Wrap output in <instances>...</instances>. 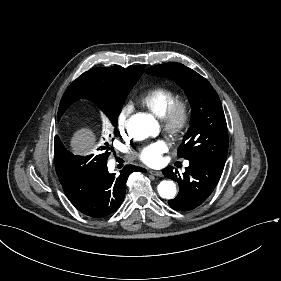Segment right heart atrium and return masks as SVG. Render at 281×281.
I'll use <instances>...</instances> for the list:
<instances>
[{
    "label": "right heart atrium",
    "mask_w": 281,
    "mask_h": 281,
    "mask_svg": "<svg viewBox=\"0 0 281 281\" xmlns=\"http://www.w3.org/2000/svg\"><path fill=\"white\" fill-rule=\"evenodd\" d=\"M132 110L133 106L131 104H125L117 114L116 124L121 133H125L134 140H141L143 129L138 125H130L129 116Z\"/></svg>",
    "instance_id": "obj_1"
}]
</instances>
